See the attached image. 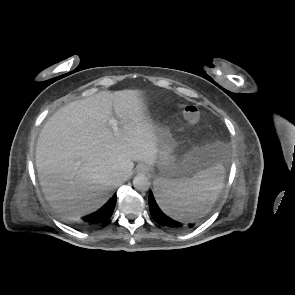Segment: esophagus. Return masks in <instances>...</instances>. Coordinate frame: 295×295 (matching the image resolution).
Returning a JSON list of instances; mask_svg holds the SVG:
<instances>
[{
  "label": "esophagus",
  "mask_w": 295,
  "mask_h": 295,
  "mask_svg": "<svg viewBox=\"0 0 295 295\" xmlns=\"http://www.w3.org/2000/svg\"><path fill=\"white\" fill-rule=\"evenodd\" d=\"M148 166L145 165V164H138L137 167H136V171L138 173H147L148 172Z\"/></svg>",
  "instance_id": "34e87169"
}]
</instances>
